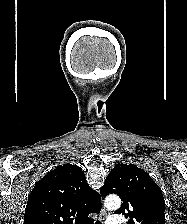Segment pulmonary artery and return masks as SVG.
<instances>
[{
    "label": "pulmonary artery",
    "instance_id": "1",
    "mask_svg": "<svg viewBox=\"0 0 187 224\" xmlns=\"http://www.w3.org/2000/svg\"><path fill=\"white\" fill-rule=\"evenodd\" d=\"M107 224H123V220H121L119 217H114L110 219Z\"/></svg>",
    "mask_w": 187,
    "mask_h": 224
}]
</instances>
